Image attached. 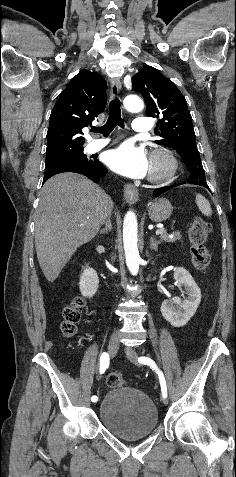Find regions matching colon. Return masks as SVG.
Wrapping results in <instances>:
<instances>
[{
  "instance_id": "obj_1",
  "label": "colon",
  "mask_w": 236,
  "mask_h": 477,
  "mask_svg": "<svg viewBox=\"0 0 236 477\" xmlns=\"http://www.w3.org/2000/svg\"><path fill=\"white\" fill-rule=\"evenodd\" d=\"M210 231L211 227L208 222L196 219L188 232L192 262L198 270H206L210 265L211 256L207 247ZM84 304L85 302L81 297H76L63 308V321L60 327L65 338H70L75 334L77 325L81 320ZM106 383L109 387H120L124 385V380L119 373L113 372L107 376Z\"/></svg>"
}]
</instances>
